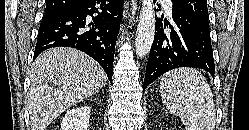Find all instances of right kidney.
I'll list each match as a JSON object with an SVG mask.
<instances>
[{
    "mask_svg": "<svg viewBox=\"0 0 249 130\" xmlns=\"http://www.w3.org/2000/svg\"><path fill=\"white\" fill-rule=\"evenodd\" d=\"M90 107L81 106L69 110L62 119V130H88Z\"/></svg>",
    "mask_w": 249,
    "mask_h": 130,
    "instance_id": "1",
    "label": "right kidney"
}]
</instances>
